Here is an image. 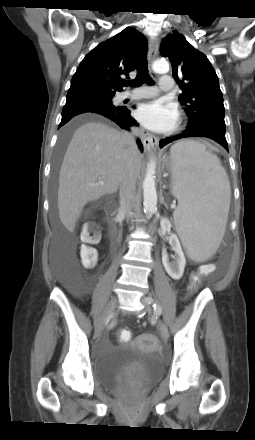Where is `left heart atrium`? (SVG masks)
<instances>
[{
    "mask_svg": "<svg viewBox=\"0 0 255 440\" xmlns=\"http://www.w3.org/2000/svg\"><path fill=\"white\" fill-rule=\"evenodd\" d=\"M136 117L146 128L165 132L174 127L177 121V111L171 104L153 101L142 104L136 112Z\"/></svg>",
    "mask_w": 255,
    "mask_h": 440,
    "instance_id": "1",
    "label": "left heart atrium"
}]
</instances>
